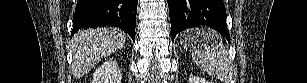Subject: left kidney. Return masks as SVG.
<instances>
[{
	"mask_svg": "<svg viewBox=\"0 0 307 83\" xmlns=\"http://www.w3.org/2000/svg\"><path fill=\"white\" fill-rule=\"evenodd\" d=\"M189 83H209V81L198 76H190Z\"/></svg>",
	"mask_w": 307,
	"mask_h": 83,
	"instance_id": "left-kidney-1",
	"label": "left kidney"
}]
</instances>
